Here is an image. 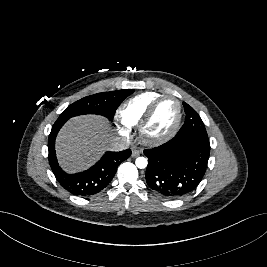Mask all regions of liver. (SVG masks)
<instances>
[{"label":"liver","instance_id":"obj_1","mask_svg":"<svg viewBox=\"0 0 267 267\" xmlns=\"http://www.w3.org/2000/svg\"><path fill=\"white\" fill-rule=\"evenodd\" d=\"M110 123L101 116L84 115L72 118L56 139V153L67 172L91 166L105 150L112 148Z\"/></svg>","mask_w":267,"mask_h":267}]
</instances>
